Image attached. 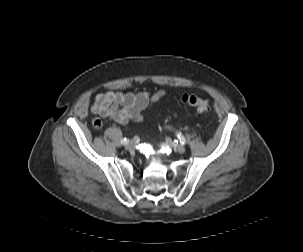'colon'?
I'll return each instance as SVG.
<instances>
[{
	"label": "colon",
	"instance_id": "obj_1",
	"mask_svg": "<svg viewBox=\"0 0 303 252\" xmlns=\"http://www.w3.org/2000/svg\"><path fill=\"white\" fill-rule=\"evenodd\" d=\"M182 103L192 106L197 110V112L202 114H209L211 112V106L209 102L202 99L194 94H183L178 98ZM95 127H101L100 120L94 121Z\"/></svg>",
	"mask_w": 303,
	"mask_h": 252
}]
</instances>
